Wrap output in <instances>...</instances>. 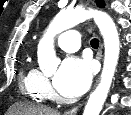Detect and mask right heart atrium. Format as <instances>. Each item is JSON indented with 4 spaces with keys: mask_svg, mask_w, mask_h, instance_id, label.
I'll use <instances>...</instances> for the list:
<instances>
[{
    "mask_svg": "<svg viewBox=\"0 0 131 115\" xmlns=\"http://www.w3.org/2000/svg\"><path fill=\"white\" fill-rule=\"evenodd\" d=\"M40 88L45 96L50 97L52 95V89L50 83L45 76H42L41 78Z\"/></svg>",
    "mask_w": 131,
    "mask_h": 115,
    "instance_id": "d8ad5b80",
    "label": "right heart atrium"
}]
</instances>
